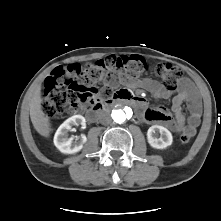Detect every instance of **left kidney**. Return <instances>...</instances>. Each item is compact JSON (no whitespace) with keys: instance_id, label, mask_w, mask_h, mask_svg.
<instances>
[{"instance_id":"1","label":"left kidney","mask_w":221,"mask_h":221,"mask_svg":"<svg viewBox=\"0 0 221 221\" xmlns=\"http://www.w3.org/2000/svg\"><path fill=\"white\" fill-rule=\"evenodd\" d=\"M157 133H160V138L157 137ZM147 140L153 148L164 149L172 144L173 137L167 128L153 125L147 131Z\"/></svg>"}]
</instances>
